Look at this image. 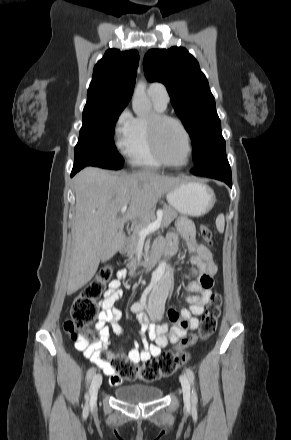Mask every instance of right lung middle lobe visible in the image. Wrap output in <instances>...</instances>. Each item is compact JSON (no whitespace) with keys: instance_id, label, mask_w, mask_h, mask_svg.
<instances>
[{"instance_id":"1","label":"right lung middle lobe","mask_w":291,"mask_h":440,"mask_svg":"<svg viewBox=\"0 0 291 440\" xmlns=\"http://www.w3.org/2000/svg\"><path fill=\"white\" fill-rule=\"evenodd\" d=\"M126 104H86L83 125L74 149V166L120 169L123 158L113 140L115 124Z\"/></svg>"}]
</instances>
